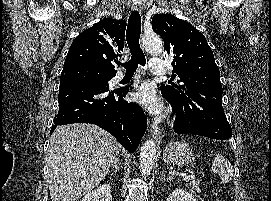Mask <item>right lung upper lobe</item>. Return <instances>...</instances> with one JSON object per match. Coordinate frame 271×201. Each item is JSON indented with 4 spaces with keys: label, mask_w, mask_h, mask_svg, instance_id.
<instances>
[{
    "label": "right lung upper lobe",
    "mask_w": 271,
    "mask_h": 201,
    "mask_svg": "<svg viewBox=\"0 0 271 201\" xmlns=\"http://www.w3.org/2000/svg\"><path fill=\"white\" fill-rule=\"evenodd\" d=\"M125 29L124 20H100L75 38L64 67L81 66L90 72L116 75L114 62L122 56Z\"/></svg>",
    "instance_id": "right-lung-upper-lobe-1"
}]
</instances>
